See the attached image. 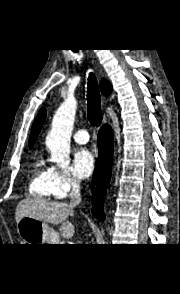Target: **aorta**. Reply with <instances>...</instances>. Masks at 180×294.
<instances>
[{
	"mask_svg": "<svg viewBox=\"0 0 180 294\" xmlns=\"http://www.w3.org/2000/svg\"><path fill=\"white\" fill-rule=\"evenodd\" d=\"M77 102L66 99L56 111L46 146L50 150L51 160L61 165L69 158L70 138L74 125Z\"/></svg>",
	"mask_w": 180,
	"mask_h": 294,
	"instance_id": "762f6f07",
	"label": "aorta"
}]
</instances>
